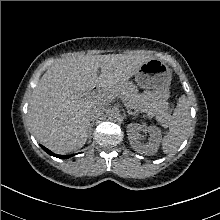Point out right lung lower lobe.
<instances>
[{"label": "right lung lower lobe", "mask_w": 220, "mask_h": 220, "mask_svg": "<svg viewBox=\"0 0 220 220\" xmlns=\"http://www.w3.org/2000/svg\"><path fill=\"white\" fill-rule=\"evenodd\" d=\"M41 147H42L43 150L46 151L49 155L55 156V157H57V158L67 159V158L70 157V156H63V155H57V154H54L53 152H51L50 150H48V149L45 148L44 146L41 145Z\"/></svg>", "instance_id": "obj_1"}]
</instances>
